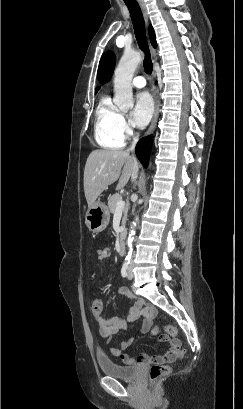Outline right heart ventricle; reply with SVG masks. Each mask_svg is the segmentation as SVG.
I'll return each instance as SVG.
<instances>
[{"instance_id":"right-heart-ventricle-1","label":"right heart ventricle","mask_w":243,"mask_h":409,"mask_svg":"<svg viewBox=\"0 0 243 409\" xmlns=\"http://www.w3.org/2000/svg\"><path fill=\"white\" fill-rule=\"evenodd\" d=\"M119 111L113 105L109 95L101 97L95 112V139L108 149H119L124 146V137L117 129Z\"/></svg>"}]
</instances>
